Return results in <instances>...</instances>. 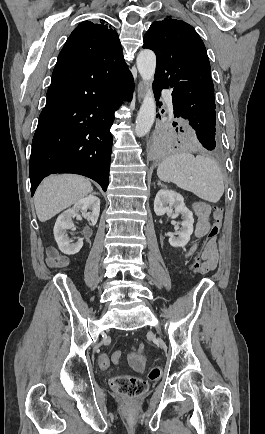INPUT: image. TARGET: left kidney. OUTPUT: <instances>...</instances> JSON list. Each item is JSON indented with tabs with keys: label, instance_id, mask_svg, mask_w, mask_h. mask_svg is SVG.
Segmentation results:
<instances>
[{
	"label": "left kidney",
	"instance_id": "left-kidney-1",
	"mask_svg": "<svg viewBox=\"0 0 265 434\" xmlns=\"http://www.w3.org/2000/svg\"><path fill=\"white\" fill-rule=\"evenodd\" d=\"M172 208H174L175 214H181L183 222H181V228L175 226L174 230L176 232L174 236L169 238L168 242L173 248H184L193 234V214L186 208L181 194H177L173 190H159L154 200V212L156 216L172 214Z\"/></svg>",
	"mask_w": 265,
	"mask_h": 434
}]
</instances>
